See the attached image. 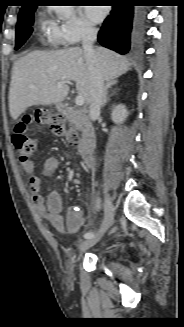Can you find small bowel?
I'll return each mask as SVG.
<instances>
[{
    "instance_id": "1",
    "label": "small bowel",
    "mask_w": 184,
    "mask_h": 327,
    "mask_svg": "<svg viewBox=\"0 0 184 327\" xmlns=\"http://www.w3.org/2000/svg\"><path fill=\"white\" fill-rule=\"evenodd\" d=\"M59 163L55 158H48L43 166L45 175H52L58 169ZM24 171L29 175V187L32 192V200L41 215L59 232L67 230L76 233L84 224L83 211L78 206L67 209L66 216L62 215L63 202L60 194L56 191L50 193L47 198L41 193L40 179L35 175L33 162L23 164Z\"/></svg>"
}]
</instances>
